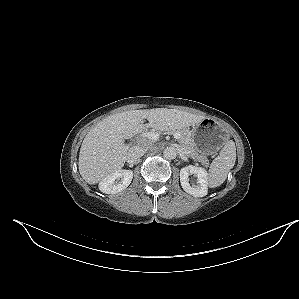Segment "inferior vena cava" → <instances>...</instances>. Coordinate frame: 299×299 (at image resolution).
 Returning a JSON list of instances; mask_svg holds the SVG:
<instances>
[{"instance_id": "inferior-vena-cava-1", "label": "inferior vena cava", "mask_w": 299, "mask_h": 299, "mask_svg": "<svg viewBox=\"0 0 299 299\" xmlns=\"http://www.w3.org/2000/svg\"><path fill=\"white\" fill-rule=\"evenodd\" d=\"M149 147L147 146H133L128 152V161L131 163H137L140 158L146 153Z\"/></svg>"}]
</instances>
